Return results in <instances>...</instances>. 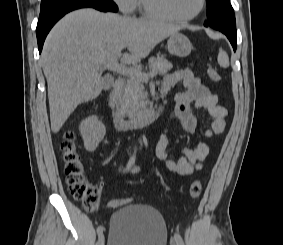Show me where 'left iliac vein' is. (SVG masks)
I'll use <instances>...</instances> for the list:
<instances>
[{"mask_svg": "<svg viewBox=\"0 0 283 245\" xmlns=\"http://www.w3.org/2000/svg\"><path fill=\"white\" fill-rule=\"evenodd\" d=\"M171 245H178L177 242L172 241Z\"/></svg>", "mask_w": 283, "mask_h": 245, "instance_id": "obj_1", "label": "left iliac vein"}]
</instances>
